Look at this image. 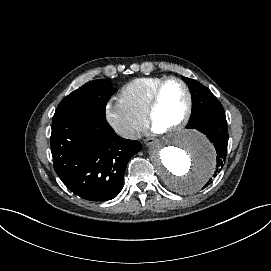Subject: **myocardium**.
<instances>
[{
    "label": "myocardium",
    "instance_id": "obj_1",
    "mask_svg": "<svg viewBox=\"0 0 271 271\" xmlns=\"http://www.w3.org/2000/svg\"><path fill=\"white\" fill-rule=\"evenodd\" d=\"M171 81H177L180 84H182V86L185 88L186 93H187V97H188V106H187V110H186L185 114L175 124H173L170 128L163 130L164 132H174V131L180 130L181 128H183L185 125H187L189 123V121L191 120V118L193 116V112H194V95H193V92H192L190 85L183 78H181L179 76L171 75V76H167L164 79H162L157 84V86L155 87V89L152 92L150 105H149V108L147 111V119H148L149 123L153 127H155L154 126V116L160 106V98H161L163 88L165 87V85L167 83H169Z\"/></svg>",
    "mask_w": 271,
    "mask_h": 271
}]
</instances>
